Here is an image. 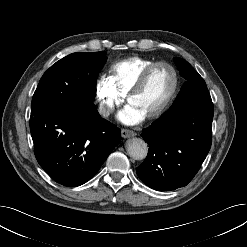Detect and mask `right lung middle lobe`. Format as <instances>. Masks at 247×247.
<instances>
[{"label": "right lung middle lobe", "instance_id": "right-lung-middle-lobe-1", "mask_svg": "<svg viewBox=\"0 0 247 247\" xmlns=\"http://www.w3.org/2000/svg\"><path fill=\"white\" fill-rule=\"evenodd\" d=\"M107 58L103 52H78L53 64L42 76L32 98L31 114L53 103L90 112L96 109L98 74Z\"/></svg>", "mask_w": 247, "mask_h": 247}]
</instances>
